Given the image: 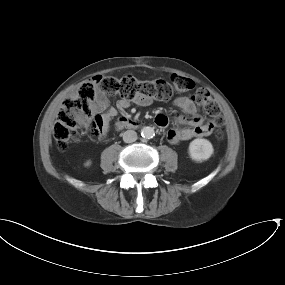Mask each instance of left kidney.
<instances>
[{
    "mask_svg": "<svg viewBox=\"0 0 285 285\" xmlns=\"http://www.w3.org/2000/svg\"><path fill=\"white\" fill-rule=\"evenodd\" d=\"M213 152V146L207 139L197 138L189 144V155L192 160L202 162L209 159Z\"/></svg>",
    "mask_w": 285,
    "mask_h": 285,
    "instance_id": "5707ae66",
    "label": "left kidney"
}]
</instances>
